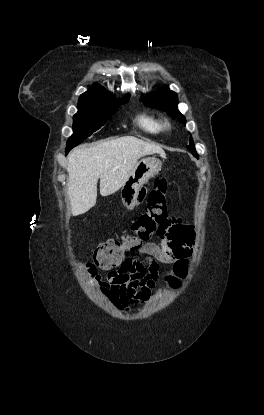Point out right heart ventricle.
I'll use <instances>...</instances> for the list:
<instances>
[{"label":"right heart ventricle","instance_id":"e07e8e85","mask_svg":"<svg viewBox=\"0 0 264 415\" xmlns=\"http://www.w3.org/2000/svg\"><path fill=\"white\" fill-rule=\"evenodd\" d=\"M136 123L143 132L150 135L158 134L163 129V124L160 118L149 113L139 114L137 116Z\"/></svg>","mask_w":264,"mask_h":415}]
</instances>
